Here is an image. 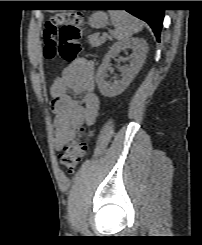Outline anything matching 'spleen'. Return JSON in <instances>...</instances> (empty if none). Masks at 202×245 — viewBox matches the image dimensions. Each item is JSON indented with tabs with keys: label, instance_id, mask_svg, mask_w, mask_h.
Wrapping results in <instances>:
<instances>
[{
	"label": "spleen",
	"instance_id": "spleen-1",
	"mask_svg": "<svg viewBox=\"0 0 202 245\" xmlns=\"http://www.w3.org/2000/svg\"><path fill=\"white\" fill-rule=\"evenodd\" d=\"M109 14L115 27L114 37L119 41L129 39L143 28V25L126 11H110Z\"/></svg>",
	"mask_w": 202,
	"mask_h": 245
}]
</instances>
